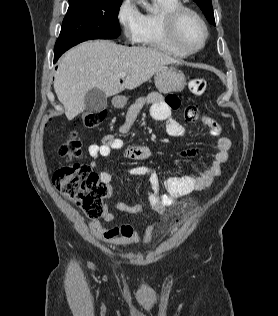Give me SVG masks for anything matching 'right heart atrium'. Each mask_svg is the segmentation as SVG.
<instances>
[{"instance_id":"right-heart-atrium-1","label":"right heart atrium","mask_w":278,"mask_h":316,"mask_svg":"<svg viewBox=\"0 0 278 316\" xmlns=\"http://www.w3.org/2000/svg\"><path fill=\"white\" fill-rule=\"evenodd\" d=\"M143 14L139 10L135 0H121L116 19L124 38L132 43H136L139 38Z\"/></svg>"}]
</instances>
